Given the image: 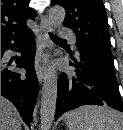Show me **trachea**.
<instances>
[{"mask_svg":"<svg viewBox=\"0 0 123 130\" xmlns=\"http://www.w3.org/2000/svg\"><path fill=\"white\" fill-rule=\"evenodd\" d=\"M49 35H50V37H51L52 40L63 41L61 38H59V37H57V36H55L53 34H49Z\"/></svg>","mask_w":123,"mask_h":130,"instance_id":"trachea-1","label":"trachea"}]
</instances>
